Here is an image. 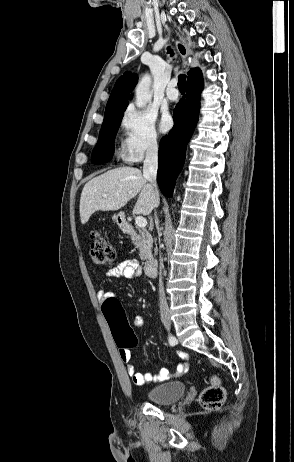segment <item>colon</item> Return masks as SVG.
Listing matches in <instances>:
<instances>
[{
  "label": "colon",
  "mask_w": 294,
  "mask_h": 462,
  "mask_svg": "<svg viewBox=\"0 0 294 462\" xmlns=\"http://www.w3.org/2000/svg\"><path fill=\"white\" fill-rule=\"evenodd\" d=\"M90 254L93 263L99 267H107L114 263L116 254L113 247L98 233L91 235ZM103 314L109 324L116 345L119 348H133L137 345V338L129 326L124 310L114 296H109L102 303ZM225 390L217 378L212 379L209 387L205 388L199 397L201 405L208 410H217L225 401Z\"/></svg>",
  "instance_id": "colon-1"
}]
</instances>
